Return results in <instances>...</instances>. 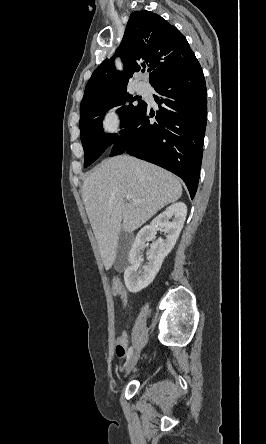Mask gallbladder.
<instances>
[{
  "label": "gallbladder",
  "instance_id": "obj_1",
  "mask_svg": "<svg viewBox=\"0 0 266 444\" xmlns=\"http://www.w3.org/2000/svg\"><path fill=\"white\" fill-rule=\"evenodd\" d=\"M130 243H131V235L126 231L122 230L119 235L116 259L114 262V268L118 272L123 271L127 264Z\"/></svg>",
  "mask_w": 266,
  "mask_h": 444
}]
</instances>
